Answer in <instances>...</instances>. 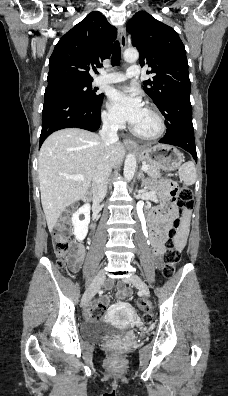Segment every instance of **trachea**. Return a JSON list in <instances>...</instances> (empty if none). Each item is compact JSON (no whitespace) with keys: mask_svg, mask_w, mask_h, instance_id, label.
Masks as SVG:
<instances>
[{"mask_svg":"<svg viewBox=\"0 0 228 396\" xmlns=\"http://www.w3.org/2000/svg\"><path fill=\"white\" fill-rule=\"evenodd\" d=\"M120 60H121L120 43L118 41H115V43L113 45V52H112V59H111L112 66L119 65Z\"/></svg>","mask_w":228,"mask_h":396,"instance_id":"obj_1","label":"trachea"}]
</instances>
